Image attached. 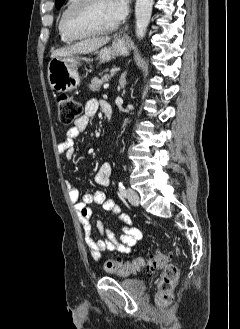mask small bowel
Segmentation results:
<instances>
[{"label":"small bowel","mask_w":240,"mask_h":329,"mask_svg":"<svg viewBox=\"0 0 240 329\" xmlns=\"http://www.w3.org/2000/svg\"><path fill=\"white\" fill-rule=\"evenodd\" d=\"M102 103L99 104L95 99L89 100L85 105L84 113L67 130L66 137L59 142L57 149L67 160H72L75 157L74 139L85 131L90 119L96 114L99 106L102 108ZM111 174V164L108 162L103 163L96 172L94 181L96 184L106 187L110 184ZM66 188L69 199L83 226L85 233L84 242L92 258L100 261L102 259V252L105 250L130 254L132 247L141 239L142 233L138 228L133 226L129 215L121 212L118 203L113 199H109L103 191L85 193L82 199H80L78 190L68 181L66 182ZM93 204L102 206L105 211L115 216L116 220L120 223L122 231L119 238L101 220L96 222V227L103 238L94 239L92 237L90 220L92 217L91 205Z\"/></svg>","instance_id":"1"}]
</instances>
